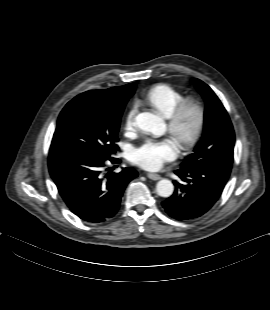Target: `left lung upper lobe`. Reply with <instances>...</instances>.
<instances>
[{"label":"left lung upper lobe","instance_id":"1","mask_svg":"<svg viewBox=\"0 0 270 310\" xmlns=\"http://www.w3.org/2000/svg\"><path fill=\"white\" fill-rule=\"evenodd\" d=\"M193 82L206 102L204 132L194 153L181 167L203 166L230 173L235 135L227 111L208 85L199 79Z\"/></svg>","mask_w":270,"mask_h":310}]
</instances>
